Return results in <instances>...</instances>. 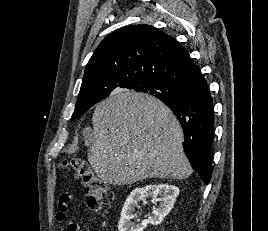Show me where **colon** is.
Wrapping results in <instances>:
<instances>
[{
	"mask_svg": "<svg viewBox=\"0 0 268 231\" xmlns=\"http://www.w3.org/2000/svg\"><path fill=\"white\" fill-rule=\"evenodd\" d=\"M63 166L71 169L80 180L87 195V203L90 209L98 210L112 201L113 193L110 188L89 169L83 159L65 160Z\"/></svg>",
	"mask_w": 268,
	"mask_h": 231,
	"instance_id": "5ec220e1",
	"label": "colon"
}]
</instances>
